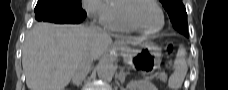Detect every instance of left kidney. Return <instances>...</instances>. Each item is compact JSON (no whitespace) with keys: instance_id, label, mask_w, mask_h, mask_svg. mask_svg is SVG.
I'll list each match as a JSON object with an SVG mask.
<instances>
[{"instance_id":"left-kidney-1","label":"left kidney","mask_w":228,"mask_h":90,"mask_svg":"<svg viewBox=\"0 0 228 90\" xmlns=\"http://www.w3.org/2000/svg\"><path fill=\"white\" fill-rule=\"evenodd\" d=\"M127 90H157V88L148 80H139L128 83Z\"/></svg>"}]
</instances>
